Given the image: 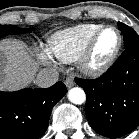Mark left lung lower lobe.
Segmentation results:
<instances>
[{
	"label": "left lung lower lobe",
	"mask_w": 139,
	"mask_h": 139,
	"mask_svg": "<svg viewBox=\"0 0 139 139\" xmlns=\"http://www.w3.org/2000/svg\"><path fill=\"white\" fill-rule=\"evenodd\" d=\"M75 81L84 88L85 113L97 133L117 138L139 126V46L125 49L100 78Z\"/></svg>",
	"instance_id": "left-lung-lower-lobe-1"
}]
</instances>
